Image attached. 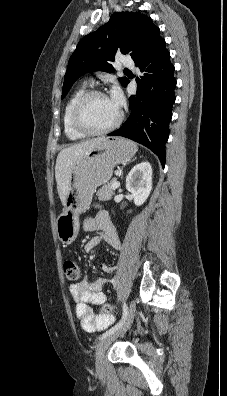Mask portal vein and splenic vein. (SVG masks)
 Here are the masks:
<instances>
[{"instance_id":"obj_1","label":"portal vein and splenic vein","mask_w":227,"mask_h":396,"mask_svg":"<svg viewBox=\"0 0 227 396\" xmlns=\"http://www.w3.org/2000/svg\"><path fill=\"white\" fill-rule=\"evenodd\" d=\"M119 186H120V183L115 182L112 187H113V189H117Z\"/></svg>"}]
</instances>
